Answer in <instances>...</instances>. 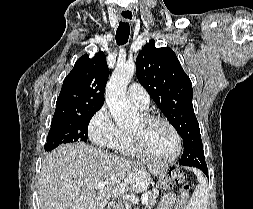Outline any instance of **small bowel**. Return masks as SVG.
<instances>
[{"instance_id":"small-bowel-1","label":"small bowel","mask_w":253,"mask_h":209,"mask_svg":"<svg viewBox=\"0 0 253 209\" xmlns=\"http://www.w3.org/2000/svg\"><path fill=\"white\" fill-rule=\"evenodd\" d=\"M156 209H177L175 206V195L173 193L164 195Z\"/></svg>"}]
</instances>
